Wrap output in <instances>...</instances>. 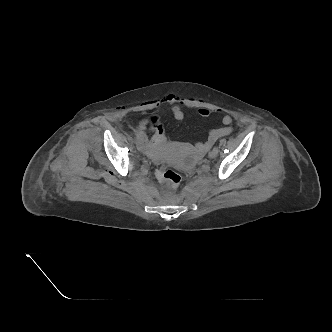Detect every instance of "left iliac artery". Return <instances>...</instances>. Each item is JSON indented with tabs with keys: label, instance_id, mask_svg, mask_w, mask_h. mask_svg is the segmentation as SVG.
Wrapping results in <instances>:
<instances>
[{
	"label": "left iliac artery",
	"instance_id": "obj_1",
	"mask_svg": "<svg viewBox=\"0 0 332 332\" xmlns=\"http://www.w3.org/2000/svg\"><path fill=\"white\" fill-rule=\"evenodd\" d=\"M213 151H215L216 153H218V152H219L218 147H214V148H213Z\"/></svg>",
	"mask_w": 332,
	"mask_h": 332
}]
</instances>
